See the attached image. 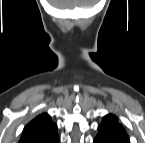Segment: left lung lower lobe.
<instances>
[{
	"label": "left lung lower lobe",
	"mask_w": 145,
	"mask_h": 143,
	"mask_svg": "<svg viewBox=\"0 0 145 143\" xmlns=\"http://www.w3.org/2000/svg\"><path fill=\"white\" fill-rule=\"evenodd\" d=\"M94 143H111V142L96 136V138L94 139Z\"/></svg>",
	"instance_id": "left-lung-lower-lobe-1"
}]
</instances>
